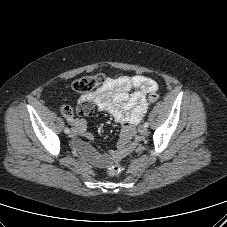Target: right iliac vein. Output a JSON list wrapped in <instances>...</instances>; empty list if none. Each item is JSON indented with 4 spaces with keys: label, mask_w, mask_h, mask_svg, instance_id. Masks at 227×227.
Listing matches in <instances>:
<instances>
[{
    "label": "right iliac vein",
    "mask_w": 227,
    "mask_h": 227,
    "mask_svg": "<svg viewBox=\"0 0 227 227\" xmlns=\"http://www.w3.org/2000/svg\"><path fill=\"white\" fill-rule=\"evenodd\" d=\"M76 134H77L76 130L74 128H72V130L69 133V136L74 137V136H76Z\"/></svg>",
    "instance_id": "63e3f726"
}]
</instances>
